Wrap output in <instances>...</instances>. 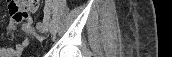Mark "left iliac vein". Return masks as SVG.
Listing matches in <instances>:
<instances>
[{"instance_id": "obj_1", "label": "left iliac vein", "mask_w": 172, "mask_h": 57, "mask_svg": "<svg viewBox=\"0 0 172 57\" xmlns=\"http://www.w3.org/2000/svg\"><path fill=\"white\" fill-rule=\"evenodd\" d=\"M46 12H49V7H46L45 9ZM49 31L51 34H55L56 31H57V22L55 19H52L50 22H49Z\"/></svg>"}]
</instances>
